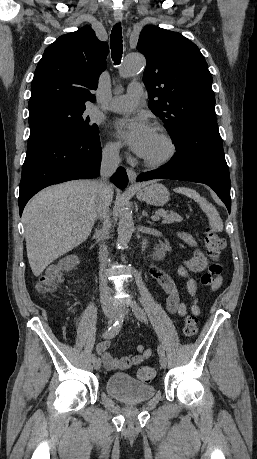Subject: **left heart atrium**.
<instances>
[{
  "label": "left heart atrium",
  "instance_id": "obj_1",
  "mask_svg": "<svg viewBox=\"0 0 257 459\" xmlns=\"http://www.w3.org/2000/svg\"><path fill=\"white\" fill-rule=\"evenodd\" d=\"M117 136L139 156L143 157L154 134L151 124L143 117L120 119L115 122Z\"/></svg>",
  "mask_w": 257,
  "mask_h": 459
}]
</instances>
